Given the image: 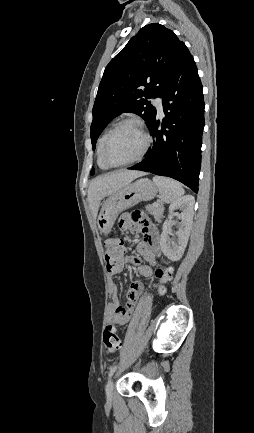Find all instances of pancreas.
<instances>
[{"mask_svg": "<svg viewBox=\"0 0 254 433\" xmlns=\"http://www.w3.org/2000/svg\"><path fill=\"white\" fill-rule=\"evenodd\" d=\"M146 210L153 215L156 220L159 221L162 218L164 207L161 203H159L157 206L154 204L146 206Z\"/></svg>", "mask_w": 254, "mask_h": 433, "instance_id": "pancreas-1", "label": "pancreas"}]
</instances>
